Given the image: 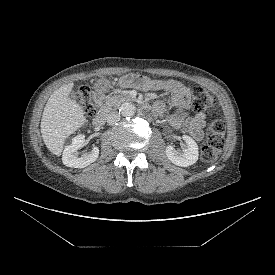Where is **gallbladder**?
Wrapping results in <instances>:
<instances>
[{
    "label": "gallbladder",
    "mask_w": 275,
    "mask_h": 275,
    "mask_svg": "<svg viewBox=\"0 0 275 275\" xmlns=\"http://www.w3.org/2000/svg\"><path fill=\"white\" fill-rule=\"evenodd\" d=\"M75 93H76V91H72V92H71V95H72V96H74V95H75Z\"/></svg>",
    "instance_id": "obj_1"
}]
</instances>
